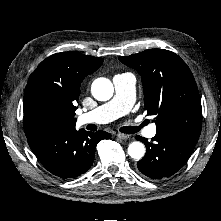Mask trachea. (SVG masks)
<instances>
[{
    "instance_id": "obj_1",
    "label": "trachea",
    "mask_w": 221,
    "mask_h": 221,
    "mask_svg": "<svg viewBox=\"0 0 221 221\" xmlns=\"http://www.w3.org/2000/svg\"><path fill=\"white\" fill-rule=\"evenodd\" d=\"M138 130H139V127H132V126H126V127L120 128V132L128 133V134L136 133V132H138Z\"/></svg>"
}]
</instances>
